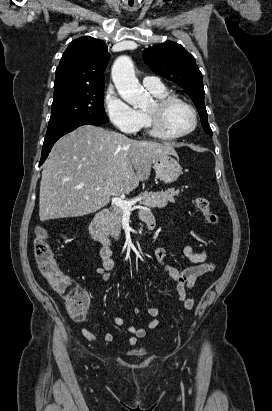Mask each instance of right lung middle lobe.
Wrapping results in <instances>:
<instances>
[{"mask_svg":"<svg viewBox=\"0 0 272 411\" xmlns=\"http://www.w3.org/2000/svg\"><path fill=\"white\" fill-rule=\"evenodd\" d=\"M104 85L71 88L54 93L46 134L81 120L109 122L104 111Z\"/></svg>","mask_w":272,"mask_h":411,"instance_id":"1","label":"right lung middle lobe"}]
</instances>
